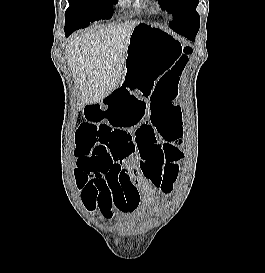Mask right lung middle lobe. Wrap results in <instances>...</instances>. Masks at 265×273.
<instances>
[{"label": "right lung middle lobe", "instance_id": "right-lung-middle-lobe-1", "mask_svg": "<svg viewBox=\"0 0 265 273\" xmlns=\"http://www.w3.org/2000/svg\"><path fill=\"white\" fill-rule=\"evenodd\" d=\"M117 0H69L70 7L65 13V34L87 27L101 19H110L112 4Z\"/></svg>", "mask_w": 265, "mask_h": 273}]
</instances>
